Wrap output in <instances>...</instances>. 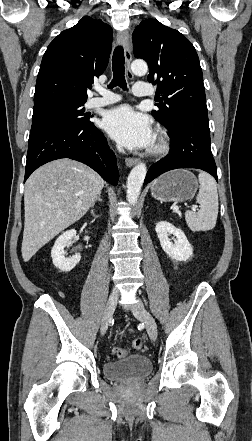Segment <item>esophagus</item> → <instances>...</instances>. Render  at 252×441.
I'll return each mask as SVG.
<instances>
[{"label": "esophagus", "instance_id": "34e87169", "mask_svg": "<svg viewBox=\"0 0 252 441\" xmlns=\"http://www.w3.org/2000/svg\"><path fill=\"white\" fill-rule=\"evenodd\" d=\"M117 39H118V42L124 48V55H125V60H126V64H127V76L130 79H132V78H134V75L132 74V72L130 70V62H131V59H132V55H131L128 31H126V30L119 31L118 34H117ZM125 162H126V166L127 167H132L133 165L138 163V159L128 157V158H126Z\"/></svg>", "mask_w": 252, "mask_h": 441}]
</instances>
